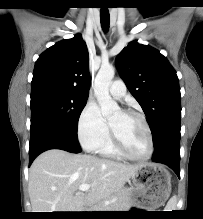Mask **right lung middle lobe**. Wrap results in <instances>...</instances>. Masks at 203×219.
Listing matches in <instances>:
<instances>
[{"label":"right lung middle lobe","mask_w":203,"mask_h":219,"mask_svg":"<svg viewBox=\"0 0 203 219\" xmlns=\"http://www.w3.org/2000/svg\"><path fill=\"white\" fill-rule=\"evenodd\" d=\"M87 98L60 86H31V129L39 125L77 140L78 119Z\"/></svg>","instance_id":"obj_1"}]
</instances>
